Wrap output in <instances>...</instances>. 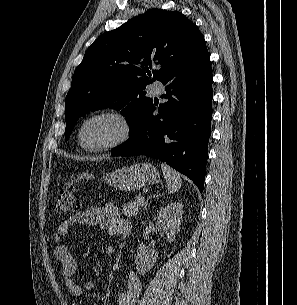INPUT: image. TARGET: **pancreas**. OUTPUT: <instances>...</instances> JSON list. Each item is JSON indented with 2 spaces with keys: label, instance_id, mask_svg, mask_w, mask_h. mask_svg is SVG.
<instances>
[{
  "label": "pancreas",
  "instance_id": "obj_1",
  "mask_svg": "<svg viewBox=\"0 0 297 305\" xmlns=\"http://www.w3.org/2000/svg\"><path fill=\"white\" fill-rule=\"evenodd\" d=\"M139 197H137L138 199ZM137 199L134 202H130L123 205L122 214L131 217L136 216L140 210V207L145 205V202H141V204H138Z\"/></svg>",
  "mask_w": 297,
  "mask_h": 305
}]
</instances>
